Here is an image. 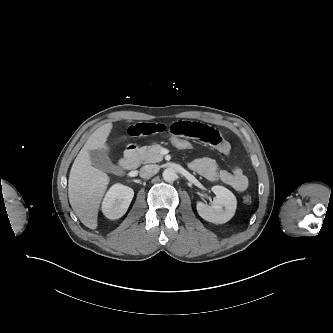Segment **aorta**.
<instances>
[{"label":"aorta","instance_id":"aorta-1","mask_svg":"<svg viewBox=\"0 0 333 333\" xmlns=\"http://www.w3.org/2000/svg\"><path fill=\"white\" fill-rule=\"evenodd\" d=\"M163 179L167 182H173L176 177H177V174H176V171L172 168H167L164 170L163 174Z\"/></svg>","mask_w":333,"mask_h":333}]
</instances>
